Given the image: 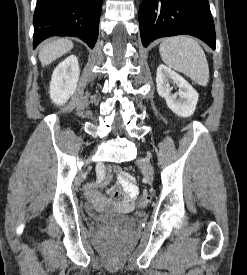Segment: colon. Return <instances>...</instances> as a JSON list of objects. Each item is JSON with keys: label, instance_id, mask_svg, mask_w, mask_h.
Returning <instances> with one entry per match:
<instances>
[{"label": "colon", "instance_id": "5ec220e1", "mask_svg": "<svg viewBox=\"0 0 247 275\" xmlns=\"http://www.w3.org/2000/svg\"><path fill=\"white\" fill-rule=\"evenodd\" d=\"M150 200V194L149 191L147 189H144L139 197V205L141 207H144L148 204Z\"/></svg>", "mask_w": 247, "mask_h": 275}]
</instances>
